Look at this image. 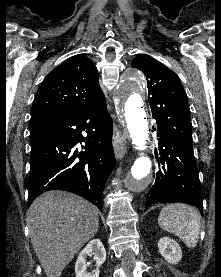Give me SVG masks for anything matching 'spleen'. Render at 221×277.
Instances as JSON below:
<instances>
[{
  "label": "spleen",
  "mask_w": 221,
  "mask_h": 277,
  "mask_svg": "<svg viewBox=\"0 0 221 277\" xmlns=\"http://www.w3.org/2000/svg\"><path fill=\"white\" fill-rule=\"evenodd\" d=\"M158 223L162 229L178 236L188 247L194 248L200 234V215L186 204H169L162 208Z\"/></svg>",
  "instance_id": "3e777b00"
}]
</instances>
